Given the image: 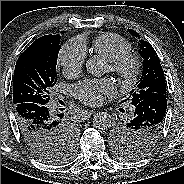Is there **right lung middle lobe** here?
<instances>
[{"instance_id":"1","label":"right lung middle lobe","mask_w":184,"mask_h":184,"mask_svg":"<svg viewBox=\"0 0 184 184\" xmlns=\"http://www.w3.org/2000/svg\"><path fill=\"white\" fill-rule=\"evenodd\" d=\"M59 41L60 36L53 35L46 46L29 47L19 56L12 82L15 106L24 102L48 103L49 90L57 82ZM74 149L75 130L68 125L53 147L34 154L43 162L55 164L69 159Z\"/></svg>"}]
</instances>
